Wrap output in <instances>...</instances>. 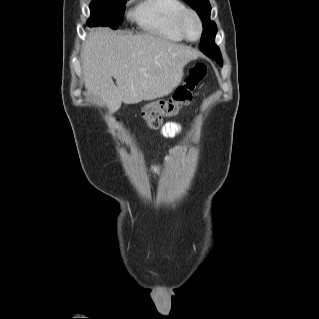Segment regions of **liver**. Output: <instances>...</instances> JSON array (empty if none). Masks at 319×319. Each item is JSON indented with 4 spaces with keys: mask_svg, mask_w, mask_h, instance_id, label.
Listing matches in <instances>:
<instances>
[{
    "mask_svg": "<svg viewBox=\"0 0 319 319\" xmlns=\"http://www.w3.org/2000/svg\"><path fill=\"white\" fill-rule=\"evenodd\" d=\"M198 52L150 34L90 30L81 51L85 88L110 112L170 94ZM112 78L116 80V84Z\"/></svg>",
    "mask_w": 319,
    "mask_h": 319,
    "instance_id": "liver-1",
    "label": "liver"
}]
</instances>
